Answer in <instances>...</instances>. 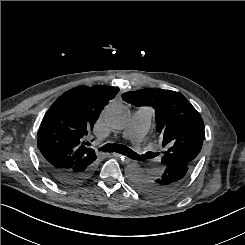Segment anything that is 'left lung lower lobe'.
<instances>
[{
	"instance_id": "left-lung-lower-lobe-1",
	"label": "left lung lower lobe",
	"mask_w": 245,
	"mask_h": 245,
	"mask_svg": "<svg viewBox=\"0 0 245 245\" xmlns=\"http://www.w3.org/2000/svg\"><path fill=\"white\" fill-rule=\"evenodd\" d=\"M193 163L178 161L163 165L159 174H144L133 182L134 188L151 198L160 199L177 191L188 178Z\"/></svg>"
}]
</instances>
